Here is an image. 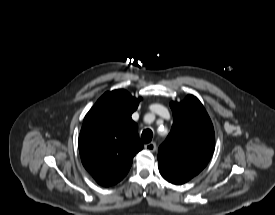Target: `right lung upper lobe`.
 I'll return each instance as SVG.
<instances>
[{"instance_id":"right-lung-upper-lobe-1","label":"right lung upper lobe","mask_w":275,"mask_h":215,"mask_svg":"<svg viewBox=\"0 0 275 215\" xmlns=\"http://www.w3.org/2000/svg\"><path fill=\"white\" fill-rule=\"evenodd\" d=\"M140 100L121 89L106 92L84 118L79 135L81 161L102 186L121 181L143 148L131 119Z\"/></svg>"}]
</instances>
